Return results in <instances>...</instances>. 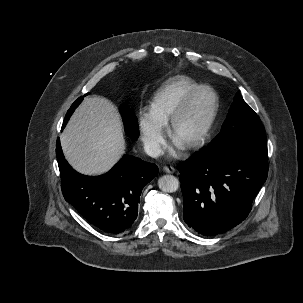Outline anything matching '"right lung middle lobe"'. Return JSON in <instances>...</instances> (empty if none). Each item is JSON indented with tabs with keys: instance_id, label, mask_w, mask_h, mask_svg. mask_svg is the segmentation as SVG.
Segmentation results:
<instances>
[{
	"instance_id": "right-lung-middle-lobe-1",
	"label": "right lung middle lobe",
	"mask_w": 303,
	"mask_h": 303,
	"mask_svg": "<svg viewBox=\"0 0 303 303\" xmlns=\"http://www.w3.org/2000/svg\"><path fill=\"white\" fill-rule=\"evenodd\" d=\"M87 95V94H86ZM85 95V96H86ZM83 100V97L78 98L70 107L68 110L64 122H63V128L67 124L70 116L74 112L75 108L80 104V102ZM121 114L123 117V122L125 126V131L129 137L136 140L138 138V125H137V119L134 115V113L129 109L128 106L124 105L121 108Z\"/></svg>"
}]
</instances>
